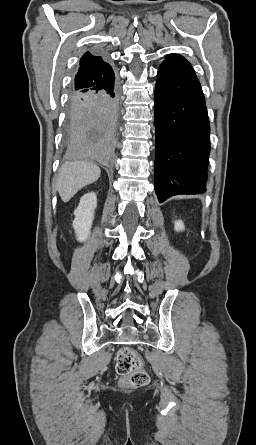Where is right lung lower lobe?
I'll return each instance as SVG.
<instances>
[{"mask_svg": "<svg viewBox=\"0 0 256 445\" xmlns=\"http://www.w3.org/2000/svg\"><path fill=\"white\" fill-rule=\"evenodd\" d=\"M118 119V84L115 74L96 89L71 94L68 148L77 159L110 164L114 158Z\"/></svg>", "mask_w": 256, "mask_h": 445, "instance_id": "98d812e1", "label": "right lung lower lobe"}]
</instances>
